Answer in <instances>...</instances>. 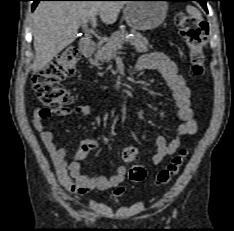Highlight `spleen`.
Returning <instances> with one entry per match:
<instances>
[{"mask_svg":"<svg viewBox=\"0 0 234 231\" xmlns=\"http://www.w3.org/2000/svg\"><path fill=\"white\" fill-rule=\"evenodd\" d=\"M186 10L188 14L191 15L193 18L199 19L201 17V13L199 12V10L191 5H187Z\"/></svg>","mask_w":234,"mask_h":231,"instance_id":"spleen-1","label":"spleen"}]
</instances>
